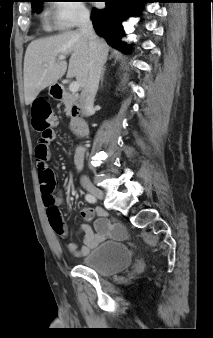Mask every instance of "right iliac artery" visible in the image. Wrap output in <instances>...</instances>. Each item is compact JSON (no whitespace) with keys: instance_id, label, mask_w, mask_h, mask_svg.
I'll list each match as a JSON object with an SVG mask.
<instances>
[{"instance_id":"1","label":"right iliac artery","mask_w":213,"mask_h":338,"mask_svg":"<svg viewBox=\"0 0 213 338\" xmlns=\"http://www.w3.org/2000/svg\"><path fill=\"white\" fill-rule=\"evenodd\" d=\"M86 201H88L89 203H95L97 200L95 198V196L91 195V194H87L85 196Z\"/></svg>"}]
</instances>
